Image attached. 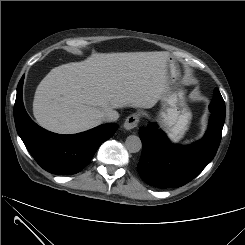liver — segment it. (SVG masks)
I'll use <instances>...</instances> for the list:
<instances>
[{"label": "liver", "instance_id": "liver-1", "mask_svg": "<svg viewBox=\"0 0 245 245\" xmlns=\"http://www.w3.org/2000/svg\"><path fill=\"white\" fill-rule=\"evenodd\" d=\"M167 52L93 53L53 68L37 86L33 115L43 128L75 134L102 123L109 110L151 108L168 83Z\"/></svg>", "mask_w": 245, "mask_h": 245}]
</instances>
